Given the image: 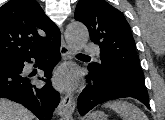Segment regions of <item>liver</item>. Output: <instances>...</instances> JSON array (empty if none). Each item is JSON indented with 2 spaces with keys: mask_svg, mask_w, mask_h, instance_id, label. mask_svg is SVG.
I'll return each instance as SVG.
<instances>
[{
  "mask_svg": "<svg viewBox=\"0 0 165 120\" xmlns=\"http://www.w3.org/2000/svg\"><path fill=\"white\" fill-rule=\"evenodd\" d=\"M34 115L21 104L0 99V120H33Z\"/></svg>",
  "mask_w": 165,
  "mask_h": 120,
  "instance_id": "1",
  "label": "liver"
}]
</instances>
